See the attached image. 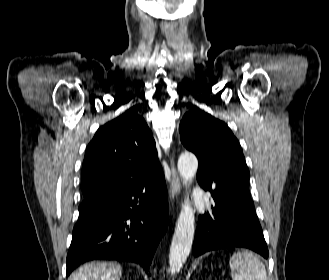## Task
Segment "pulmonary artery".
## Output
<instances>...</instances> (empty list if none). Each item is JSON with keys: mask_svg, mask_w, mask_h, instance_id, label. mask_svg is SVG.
Segmentation results:
<instances>
[{"mask_svg": "<svg viewBox=\"0 0 329 280\" xmlns=\"http://www.w3.org/2000/svg\"><path fill=\"white\" fill-rule=\"evenodd\" d=\"M193 194L194 196L198 197L200 195V189L199 188L194 189Z\"/></svg>", "mask_w": 329, "mask_h": 280, "instance_id": "pulmonary-artery-1", "label": "pulmonary artery"}]
</instances>
